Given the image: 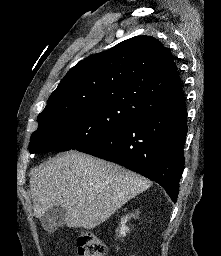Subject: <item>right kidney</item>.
Wrapping results in <instances>:
<instances>
[{"instance_id":"1","label":"right kidney","mask_w":221,"mask_h":256,"mask_svg":"<svg viewBox=\"0 0 221 256\" xmlns=\"http://www.w3.org/2000/svg\"><path fill=\"white\" fill-rule=\"evenodd\" d=\"M131 216H133V215H131ZM129 218H130V216H128V215L121 218V227L119 230V237H121V236L125 237L127 232L129 231V228L126 226V223Z\"/></svg>"}]
</instances>
